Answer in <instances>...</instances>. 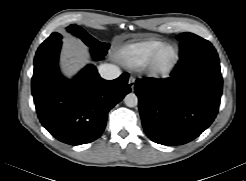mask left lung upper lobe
Masks as SVG:
<instances>
[{"label": "left lung upper lobe", "mask_w": 246, "mask_h": 181, "mask_svg": "<svg viewBox=\"0 0 246 181\" xmlns=\"http://www.w3.org/2000/svg\"><path fill=\"white\" fill-rule=\"evenodd\" d=\"M180 40V56L191 53L198 49H202L211 46V43L193 33H182L177 36Z\"/></svg>", "instance_id": "5c2ea615"}]
</instances>
